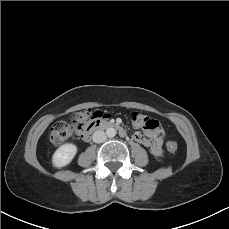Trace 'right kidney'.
Instances as JSON below:
<instances>
[{
    "mask_svg": "<svg viewBox=\"0 0 229 229\" xmlns=\"http://www.w3.org/2000/svg\"><path fill=\"white\" fill-rule=\"evenodd\" d=\"M77 153L75 144L67 143L60 146L52 156V163L55 167L61 168L68 165Z\"/></svg>",
    "mask_w": 229,
    "mask_h": 229,
    "instance_id": "ca27d5eb",
    "label": "right kidney"
}]
</instances>
